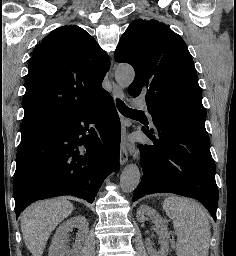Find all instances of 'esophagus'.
<instances>
[{
    "mask_svg": "<svg viewBox=\"0 0 236 256\" xmlns=\"http://www.w3.org/2000/svg\"><path fill=\"white\" fill-rule=\"evenodd\" d=\"M112 86H113V97L116 99L117 98L123 99L124 98L123 90L116 84L114 80H112ZM121 125H122V134H121V147H120V164L124 165L128 160V152L126 148L128 123L122 116H121Z\"/></svg>",
    "mask_w": 236,
    "mask_h": 256,
    "instance_id": "obj_1",
    "label": "esophagus"
}]
</instances>
